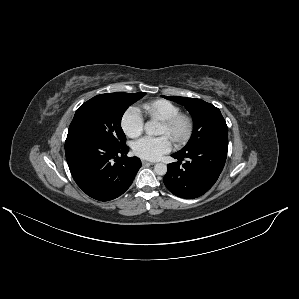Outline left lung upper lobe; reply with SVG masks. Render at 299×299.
<instances>
[{
	"mask_svg": "<svg viewBox=\"0 0 299 299\" xmlns=\"http://www.w3.org/2000/svg\"><path fill=\"white\" fill-rule=\"evenodd\" d=\"M163 97L184 105L193 117L194 129L191 138L178 153L185 152L210 139L228 137L226 122L217 107L196 98Z\"/></svg>",
	"mask_w": 299,
	"mask_h": 299,
	"instance_id": "left-lung-upper-lobe-1",
	"label": "left lung upper lobe"
}]
</instances>
